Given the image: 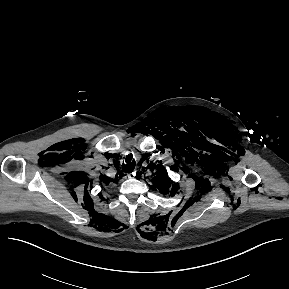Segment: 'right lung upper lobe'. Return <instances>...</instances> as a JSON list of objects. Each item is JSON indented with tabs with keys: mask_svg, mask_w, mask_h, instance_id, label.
<instances>
[{
	"mask_svg": "<svg viewBox=\"0 0 289 289\" xmlns=\"http://www.w3.org/2000/svg\"><path fill=\"white\" fill-rule=\"evenodd\" d=\"M102 181L105 185H108L111 181H113L112 179L108 178V177H104L102 178Z\"/></svg>",
	"mask_w": 289,
	"mask_h": 289,
	"instance_id": "1",
	"label": "right lung upper lobe"
}]
</instances>
